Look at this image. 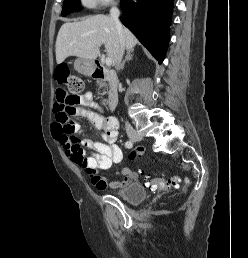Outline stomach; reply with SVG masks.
<instances>
[{
	"label": "stomach",
	"mask_w": 248,
	"mask_h": 258,
	"mask_svg": "<svg viewBox=\"0 0 248 258\" xmlns=\"http://www.w3.org/2000/svg\"><path fill=\"white\" fill-rule=\"evenodd\" d=\"M74 68L76 71L86 76H91L95 70L94 63L92 61L82 58L75 60Z\"/></svg>",
	"instance_id": "1"
}]
</instances>
